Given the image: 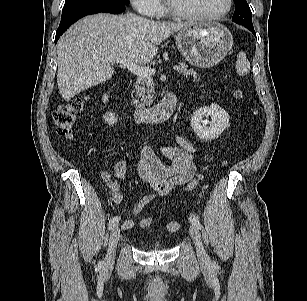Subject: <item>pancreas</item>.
<instances>
[{"label":"pancreas","mask_w":307,"mask_h":301,"mask_svg":"<svg viewBox=\"0 0 307 301\" xmlns=\"http://www.w3.org/2000/svg\"><path fill=\"white\" fill-rule=\"evenodd\" d=\"M180 73L185 77H193L194 80H198L199 77L193 69H188V66L184 62L180 63ZM136 94L141 99L143 104H149L152 102V94L154 93L153 80L151 77L140 78L136 85Z\"/></svg>","instance_id":"obj_1"}]
</instances>
